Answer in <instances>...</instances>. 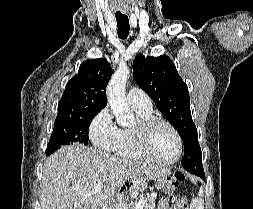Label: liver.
Listing matches in <instances>:
<instances>
[{"label":"liver","instance_id":"6515ba94","mask_svg":"<svg viewBox=\"0 0 253 209\" xmlns=\"http://www.w3.org/2000/svg\"><path fill=\"white\" fill-rule=\"evenodd\" d=\"M169 174L168 169L111 156L82 144L62 146L44 163L40 203L42 209H111L116 191L126 182L139 189L146 180ZM98 182L105 186L92 193Z\"/></svg>","mask_w":253,"mask_h":209}]
</instances>
